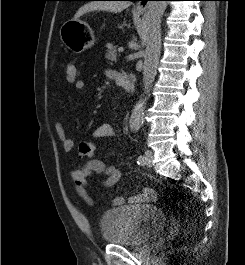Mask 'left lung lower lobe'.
<instances>
[{"label": "left lung lower lobe", "instance_id": "1", "mask_svg": "<svg viewBox=\"0 0 245 265\" xmlns=\"http://www.w3.org/2000/svg\"><path fill=\"white\" fill-rule=\"evenodd\" d=\"M128 1H139V0H128Z\"/></svg>", "mask_w": 245, "mask_h": 265}]
</instances>
